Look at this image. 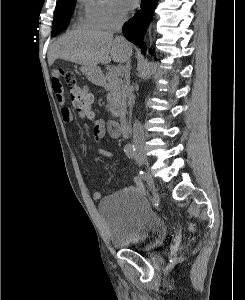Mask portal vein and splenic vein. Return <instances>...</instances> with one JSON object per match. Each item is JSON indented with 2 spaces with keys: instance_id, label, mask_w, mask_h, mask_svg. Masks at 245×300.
Returning a JSON list of instances; mask_svg holds the SVG:
<instances>
[{
  "instance_id": "portal-vein-and-splenic-vein-1",
  "label": "portal vein and splenic vein",
  "mask_w": 245,
  "mask_h": 300,
  "mask_svg": "<svg viewBox=\"0 0 245 300\" xmlns=\"http://www.w3.org/2000/svg\"><path fill=\"white\" fill-rule=\"evenodd\" d=\"M111 71L114 72V73H116V72L119 71V69L118 68H113V69H111Z\"/></svg>"
}]
</instances>
